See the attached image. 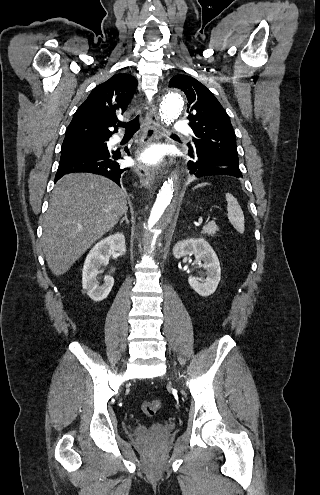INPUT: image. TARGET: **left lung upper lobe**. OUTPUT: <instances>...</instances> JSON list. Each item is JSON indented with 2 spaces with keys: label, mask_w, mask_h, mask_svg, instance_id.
Returning <instances> with one entry per match:
<instances>
[{
  "label": "left lung upper lobe",
  "mask_w": 320,
  "mask_h": 495,
  "mask_svg": "<svg viewBox=\"0 0 320 495\" xmlns=\"http://www.w3.org/2000/svg\"><path fill=\"white\" fill-rule=\"evenodd\" d=\"M170 87L181 89L188 99L187 118L196 136L192 144H187L188 152L200 148L238 164L236 136L229 116L209 89L187 75L174 76Z\"/></svg>",
  "instance_id": "5c2ea615"
}]
</instances>
